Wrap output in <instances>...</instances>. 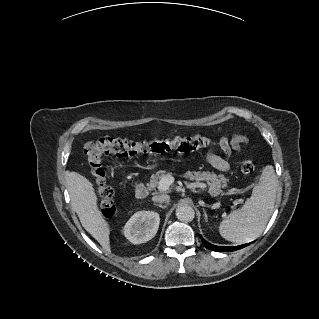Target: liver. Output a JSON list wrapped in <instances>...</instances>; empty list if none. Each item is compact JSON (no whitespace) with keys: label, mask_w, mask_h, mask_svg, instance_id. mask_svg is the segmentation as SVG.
I'll return each mask as SVG.
<instances>
[{"label":"liver","mask_w":319,"mask_h":319,"mask_svg":"<svg viewBox=\"0 0 319 319\" xmlns=\"http://www.w3.org/2000/svg\"><path fill=\"white\" fill-rule=\"evenodd\" d=\"M72 206L84 229L110 251V227L98 208V197L93 184L84 176L70 172L67 177Z\"/></svg>","instance_id":"liver-1"}]
</instances>
